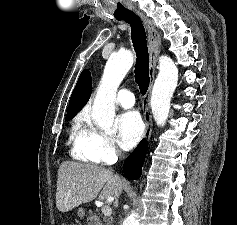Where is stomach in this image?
<instances>
[{"instance_id":"stomach-1","label":"stomach","mask_w":237,"mask_h":225,"mask_svg":"<svg viewBox=\"0 0 237 225\" xmlns=\"http://www.w3.org/2000/svg\"><path fill=\"white\" fill-rule=\"evenodd\" d=\"M78 215H79L80 217H83V216L85 215V210H84L83 208H79V210H78Z\"/></svg>"}]
</instances>
